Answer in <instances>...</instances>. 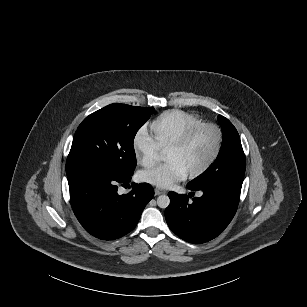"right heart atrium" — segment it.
I'll use <instances>...</instances> for the list:
<instances>
[{
	"mask_svg": "<svg viewBox=\"0 0 307 307\" xmlns=\"http://www.w3.org/2000/svg\"><path fill=\"white\" fill-rule=\"evenodd\" d=\"M132 150L136 161L144 167L154 166L160 158L159 147L147 136L135 138Z\"/></svg>",
	"mask_w": 307,
	"mask_h": 307,
	"instance_id": "obj_1",
	"label": "right heart atrium"
}]
</instances>
